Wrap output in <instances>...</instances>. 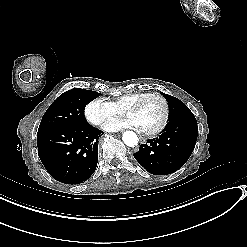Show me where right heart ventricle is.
I'll use <instances>...</instances> for the list:
<instances>
[{
    "instance_id": "e07e8e85",
    "label": "right heart ventricle",
    "mask_w": 247,
    "mask_h": 247,
    "mask_svg": "<svg viewBox=\"0 0 247 247\" xmlns=\"http://www.w3.org/2000/svg\"><path fill=\"white\" fill-rule=\"evenodd\" d=\"M146 93L148 92H135V93L127 94L125 96L117 98L114 102V105L117 108L124 107V106H131L134 100L142 97Z\"/></svg>"
}]
</instances>
